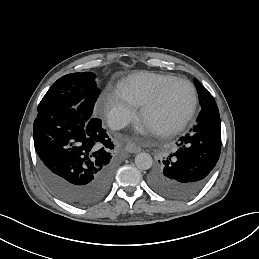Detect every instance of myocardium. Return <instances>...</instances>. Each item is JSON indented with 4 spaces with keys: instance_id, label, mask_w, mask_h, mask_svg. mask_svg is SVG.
Here are the masks:
<instances>
[{
    "instance_id": "obj_1",
    "label": "myocardium",
    "mask_w": 259,
    "mask_h": 259,
    "mask_svg": "<svg viewBox=\"0 0 259 259\" xmlns=\"http://www.w3.org/2000/svg\"><path fill=\"white\" fill-rule=\"evenodd\" d=\"M177 81L185 82L189 86L192 95L191 102L187 109L181 115H179L166 129L156 132V134L159 136H170L180 131L189 121L197 107L198 97L195 85L187 78L174 76L163 82L157 89L156 93L143 104L140 118L157 107L161 103L167 89Z\"/></svg>"
}]
</instances>
